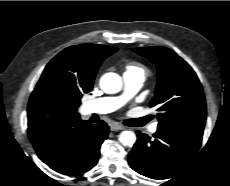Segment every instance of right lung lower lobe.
<instances>
[{"instance_id": "98d812e1", "label": "right lung lower lobe", "mask_w": 230, "mask_h": 186, "mask_svg": "<svg viewBox=\"0 0 230 186\" xmlns=\"http://www.w3.org/2000/svg\"><path fill=\"white\" fill-rule=\"evenodd\" d=\"M108 132L109 127L103 121L98 125L82 121L33 146L51 169L62 174H79L96 165Z\"/></svg>"}]
</instances>
